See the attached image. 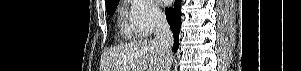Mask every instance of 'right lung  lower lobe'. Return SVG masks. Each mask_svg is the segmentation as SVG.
<instances>
[{
    "instance_id": "98d812e1",
    "label": "right lung lower lobe",
    "mask_w": 301,
    "mask_h": 71,
    "mask_svg": "<svg viewBox=\"0 0 301 71\" xmlns=\"http://www.w3.org/2000/svg\"><path fill=\"white\" fill-rule=\"evenodd\" d=\"M180 0H175L174 7L166 8V19L170 25L172 33L174 35L173 49L177 51L179 47V32H180Z\"/></svg>"
}]
</instances>
